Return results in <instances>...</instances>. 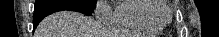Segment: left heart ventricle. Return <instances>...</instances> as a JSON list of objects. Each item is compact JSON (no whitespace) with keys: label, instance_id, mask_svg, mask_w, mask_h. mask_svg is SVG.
Instances as JSON below:
<instances>
[{"label":"left heart ventricle","instance_id":"obj_1","mask_svg":"<svg viewBox=\"0 0 219 37\" xmlns=\"http://www.w3.org/2000/svg\"><path fill=\"white\" fill-rule=\"evenodd\" d=\"M159 18L161 19H166L168 17V11L165 9H162L159 14H158Z\"/></svg>","mask_w":219,"mask_h":37}]
</instances>
